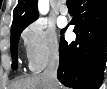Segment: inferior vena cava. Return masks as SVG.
I'll return each instance as SVG.
<instances>
[{"instance_id": "602c4592", "label": "inferior vena cava", "mask_w": 107, "mask_h": 89, "mask_svg": "<svg viewBox=\"0 0 107 89\" xmlns=\"http://www.w3.org/2000/svg\"><path fill=\"white\" fill-rule=\"evenodd\" d=\"M59 66V56L56 55L53 57L42 75L49 81L50 89H57L58 80H57V69Z\"/></svg>"}]
</instances>
